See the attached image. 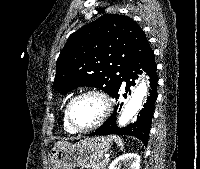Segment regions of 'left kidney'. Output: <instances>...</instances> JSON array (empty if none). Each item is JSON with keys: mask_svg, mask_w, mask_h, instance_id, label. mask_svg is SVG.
<instances>
[{"mask_svg": "<svg viewBox=\"0 0 200 169\" xmlns=\"http://www.w3.org/2000/svg\"><path fill=\"white\" fill-rule=\"evenodd\" d=\"M125 164L128 169H140V156L134 153H126L116 158L109 169H120Z\"/></svg>", "mask_w": 200, "mask_h": 169, "instance_id": "left-kidney-1", "label": "left kidney"}]
</instances>
